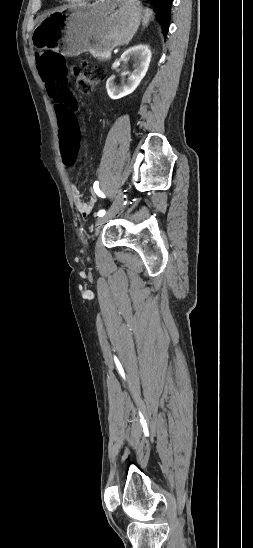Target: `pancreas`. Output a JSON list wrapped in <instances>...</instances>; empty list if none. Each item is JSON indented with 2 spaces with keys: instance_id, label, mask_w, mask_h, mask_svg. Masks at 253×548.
Returning a JSON list of instances; mask_svg holds the SVG:
<instances>
[{
  "instance_id": "cf45deb5",
  "label": "pancreas",
  "mask_w": 253,
  "mask_h": 548,
  "mask_svg": "<svg viewBox=\"0 0 253 548\" xmlns=\"http://www.w3.org/2000/svg\"><path fill=\"white\" fill-rule=\"evenodd\" d=\"M92 54L99 60H108L111 57V53L109 51H92Z\"/></svg>"
}]
</instances>
